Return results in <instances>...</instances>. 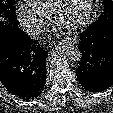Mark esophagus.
<instances>
[{
  "label": "esophagus",
  "mask_w": 113,
  "mask_h": 113,
  "mask_svg": "<svg viewBox=\"0 0 113 113\" xmlns=\"http://www.w3.org/2000/svg\"><path fill=\"white\" fill-rule=\"evenodd\" d=\"M70 40H71V38H70ZM73 40V42H76V39L74 38V39H72Z\"/></svg>",
  "instance_id": "34e87169"
}]
</instances>
